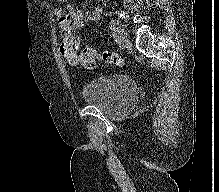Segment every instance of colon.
Instances as JSON below:
<instances>
[{
	"label": "colon",
	"mask_w": 219,
	"mask_h": 192,
	"mask_svg": "<svg viewBox=\"0 0 219 192\" xmlns=\"http://www.w3.org/2000/svg\"><path fill=\"white\" fill-rule=\"evenodd\" d=\"M60 51L70 63L79 64L88 68H93L97 59L118 67H124L126 65L124 58L110 50L97 51L93 46L80 50L77 37L74 34H68L63 38Z\"/></svg>",
	"instance_id": "obj_1"
}]
</instances>
